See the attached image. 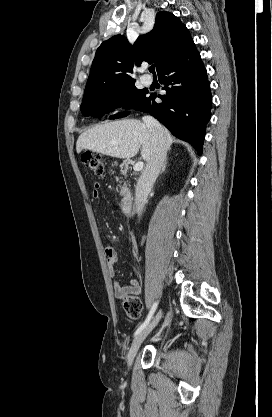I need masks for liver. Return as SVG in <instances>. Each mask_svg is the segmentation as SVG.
Here are the masks:
<instances>
[{"label": "liver", "mask_w": 272, "mask_h": 417, "mask_svg": "<svg viewBox=\"0 0 272 417\" xmlns=\"http://www.w3.org/2000/svg\"><path fill=\"white\" fill-rule=\"evenodd\" d=\"M164 130L166 149H170L172 136ZM142 147V148H141ZM141 148V156L148 162L151 156V135L140 120L125 119L98 124L82 133L76 143V151L91 150L107 156L129 159Z\"/></svg>", "instance_id": "6515ba94"}]
</instances>
